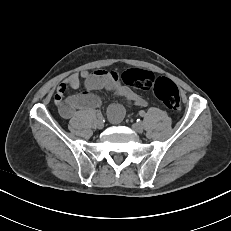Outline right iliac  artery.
I'll list each match as a JSON object with an SVG mask.
<instances>
[{"label":"right iliac artery","mask_w":231,"mask_h":231,"mask_svg":"<svg viewBox=\"0 0 231 231\" xmlns=\"http://www.w3.org/2000/svg\"><path fill=\"white\" fill-rule=\"evenodd\" d=\"M97 117H98L99 119H102V118H103L101 112L97 113Z\"/></svg>","instance_id":"1"}]
</instances>
